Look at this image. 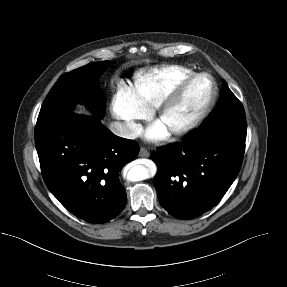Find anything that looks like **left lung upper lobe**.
<instances>
[{
  "mask_svg": "<svg viewBox=\"0 0 287 287\" xmlns=\"http://www.w3.org/2000/svg\"><path fill=\"white\" fill-rule=\"evenodd\" d=\"M246 130L247 123L243 105L223 81L218 105L203 121L199 133L245 141Z\"/></svg>",
  "mask_w": 287,
  "mask_h": 287,
  "instance_id": "1",
  "label": "left lung upper lobe"
}]
</instances>
